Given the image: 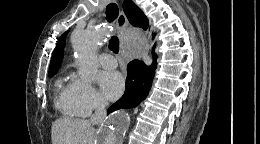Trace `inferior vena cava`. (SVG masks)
I'll list each match as a JSON object with an SVG mask.
<instances>
[{
    "mask_svg": "<svg viewBox=\"0 0 260 144\" xmlns=\"http://www.w3.org/2000/svg\"><path fill=\"white\" fill-rule=\"evenodd\" d=\"M106 116V102L99 100L96 105V109L92 117L90 118V124H101Z\"/></svg>",
    "mask_w": 260,
    "mask_h": 144,
    "instance_id": "602c4592",
    "label": "inferior vena cava"
}]
</instances>
